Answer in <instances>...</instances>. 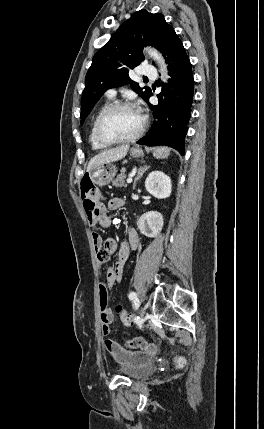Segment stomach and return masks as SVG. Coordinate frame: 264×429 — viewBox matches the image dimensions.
Here are the masks:
<instances>
[{
	"instance_id": "1",
	"label": "stomach",
	"mask_w": 264,
	"mask_h": 429,
	"mask_svg": "<svg viewBox=\"0 0 264 429\" xmlns=\"http://www.w3.org/2000/svg\"><path fill=\"white\" fill-rule=\"evenodd\" d=\"M130 155L134 158H140L144 156V152L139 147H134L130 150ZM169 155V149L166 147H156L153 149V156L155 158H166ZM117 169L110 163L95 166L92 170L87 172V176L93 184L104 186L110 183V181L116 175Z\"/></svg>"
}]
</instances>
